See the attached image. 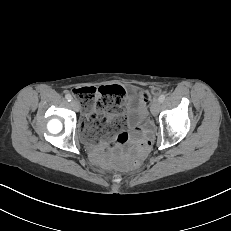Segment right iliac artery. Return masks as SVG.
<instances>
[{
  "label": "right iliac artery",
  "instance_id": "1",
  "mask_svg": "<svg viewBox=\"0 0 231 231\" xmlns=\"http://www.w3.org/2000/svg\"><path fill=\"white\" fill-rule=\"evenodd\" d=\"M65 98L67 99V101H71V100H72V96H71L70 94H67V95L65 96Z\"/></svg>",
  "mask_w": 231,
  "mask_h": 231
}]
</instances>
